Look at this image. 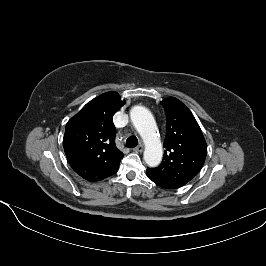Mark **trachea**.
Returning a JSON list of instances; mask_svg holds the SVG:
<instances>
[{
	"label": "trachea",
	"mask_w": 266,
	"mask_h": 266,
	"mask_svg": "<svg viewBox=\"0 0 266 266\" xmlns=\"http://www.w3.org/2000/svg\"><path fill=\"white\" fill-rule=\"evenodd\" d=\"M138 145V139L135 136H130L126 140V146L129 148H134Z\"/></svg>",
	"instance_id": "obj_1"
}]
</instances>
